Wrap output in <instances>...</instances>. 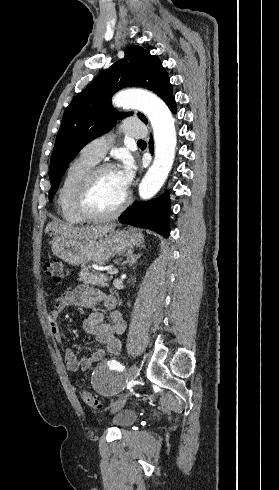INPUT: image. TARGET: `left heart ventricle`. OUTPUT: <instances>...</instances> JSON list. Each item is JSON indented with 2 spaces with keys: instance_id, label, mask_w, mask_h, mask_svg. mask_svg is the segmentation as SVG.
I'll list each match as a JSON object with an SVG mask.
<instances>
[{
  "instance_id": "b2bd125f",
  "label": "left heart ventricle",
  "mask_w": 279,
  "mask_h": 490,
  "mask_svg": "<svg viewBox=\"0 0 279 490\" xmlns=\"http://www.w3.org/2000/svg\"><path fill=\"white\" fill-rule=\"evenodd\" d=\"M125 196L118 184L115 170H111L99 176L92 202L96 210L108 213L118 207Z\"/></svg>"
}]
</instances>
